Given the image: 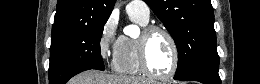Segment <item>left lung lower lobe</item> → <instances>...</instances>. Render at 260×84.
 <instances>
[{"mask_svg": "<svg viewBox=\"0 0 260 84\" xmlns=\"http://www.w3.org/2000/svg\"><path fill=\"white\" fill-rule=\"evenodd\" d=\"M219 65H207L199 67L184 77L175 79L180 81H198L203 84H221V80L218 74Z\"/></svg>", "mask_w": 260, "mask_h": 84, "instance_id": "left-lung-lower-lobe-1", "label": "left lung lower lobe"}]
</instances>
